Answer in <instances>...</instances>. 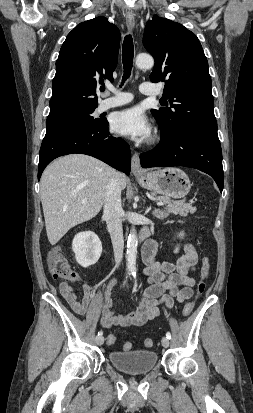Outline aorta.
I'll return each instance as SVG.
<instances>
[{"label":"aorta","instance_id":"aorta-1","mask_svg":"<svg viewBox=\"0 0 253 413\" xmlns=\"http://www.w3.org/2000/svg\"><path fill=\"white\" fill-rule=\"evenodd\" d=\"M135 63L140 69H150L154 66V59L148 54H139L136 57ZM137 246L138 240L136 230L132 227L128 236L126 251L127 269L129 272H134L136 270Z\"/></svg>","mask_w":253,"mask_h":413}]
</instances>
